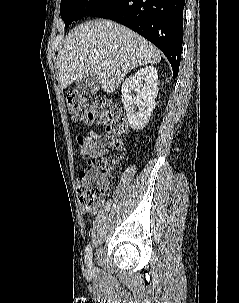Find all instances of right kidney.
<instances>
[{
    "label": "right kidney",
    "mask_w": 239,
    "mask_h": 303,
    "mask_svg": "<svg viewBox=\"0 0 239 303\" xmlns=\"http://www.w3.org/2000/svg\"><path fill=\"white\" fill-rule=\"evenodd\" d=\"M158 73L153 66L140 68L127 78L121 88V101L126 111L129 125L133 130L143 129L155 107L158 94ZM136 93V96L133 95ZM135 107L138 111L135 112Z\"/></svg>",
    "instance_id": "right-kidney-1"
}]
</instances>
